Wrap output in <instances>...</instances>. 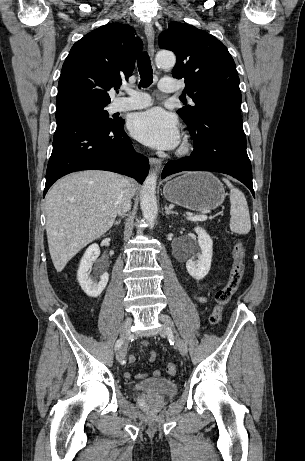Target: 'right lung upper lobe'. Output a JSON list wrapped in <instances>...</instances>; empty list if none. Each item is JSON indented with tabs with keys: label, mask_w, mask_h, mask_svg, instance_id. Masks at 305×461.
I'll return each mask as SVG.
<instances>
[{
	"label": "right lung upper lobe",
	"mask_w": 305,
	"mask_h": 461,
	"mask_svg": "<svg viewBox=\"0 0 305 461\" xmlns=\"http://www.w3.org/2000/svg\"><path fill=\"white\" fill-rule=\"evenodd\" d=\"M142 41L120 23L101 26L71 48L58 83L57 108L110 103L108 91L132 74Z\"/></svg>",
	"instance_id": "cb5924a9"
}]
</instances>
